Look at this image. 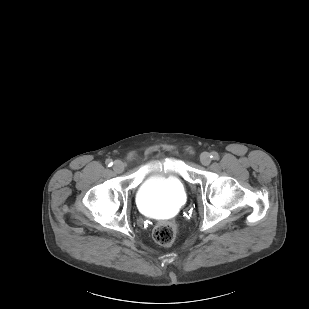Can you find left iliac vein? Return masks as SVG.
Instances as JSON below:
<instances>
[{"label": "left iliac vein", "instance_id": "obj_1", "mask_svg": "<svg viewBox=\"0 0 309 309\" xmlns=\"http://www.w3.org/2000/svg\"><path fill=\"white\" fill-rule=\"evenodd\" d=\"M200 161L205 166L209 165L211 163L210 154L207 152L202 153L200 156Z\"/></svg>", "mask_w": 309, "mask_h": 309}]
</instances>
